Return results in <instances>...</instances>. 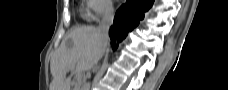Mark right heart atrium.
Wrapping results in <instances>:
<instances>
[{"label":"right heart atrium","instance_id":"d8ad5b80","mask_svg":"<svg viewBox=\"0 0 228 90\" xmlns=\"http://www.w3.org/2000/svg\"><path fill=\"white\" fill-rule=\"evenodd\" d=\"M87 18L98 20L101 17L109 16L113 13V4L110 0H87Z\"/></svg>","mask_w":228,"mask_h":90}]
</instances>
